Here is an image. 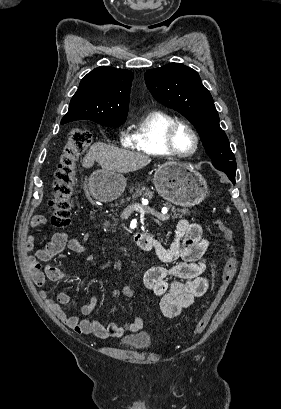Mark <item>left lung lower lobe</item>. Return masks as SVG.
<instances>
[{"label": "left lung lower lobe", "mask_w": 281, "mask_h": 409, "mask_svg": "<svg viewBox=\"0 0 281 409\" xmlns=\"http://www.w3.org/2000/svg\"><path fill=\"white\" fill-rule=\"evenodd\" d=\"M220 171H223L224 173H226L229 179L232 181V183L235 184V171L225 170V169H222Z\"/></svg>", "instance_id": "obj_1"}]
</instances>
